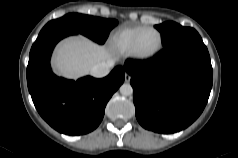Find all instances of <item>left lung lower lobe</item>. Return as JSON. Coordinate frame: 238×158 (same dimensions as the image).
Masks as SVG:
<instances>
[{"mask_svg":"<svg viewBox=\"0 0 238 158\" xmlns=\"http://www.w3.org/2000/svg\"><path fill=\"white\" fill-rule=\"evenodd\" d=\"M138 122L148 130L174 133L202 113L212 88L210 56L200 35L178 39L149 60L127 59Z\"/></svg>","mask_w":238,"mask_h":158,"instance_id":"obj_1","label":"left lung lower lobe"}]
</instances>
